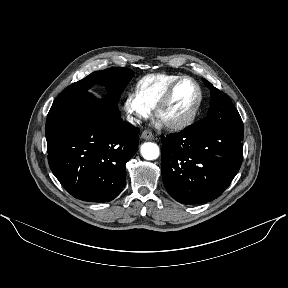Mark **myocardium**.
<instances>
[{
	"label": "myocardium",
	"mask_w": 288,
	"mask_h": 288,
	"mask_svg": "<svg viewBox=\"0 0 288 288\" xmlns=\"http://www.w3.org/2000/svg\"><path fill=\"white\" fill-rule=\"evenodd\" d=\"M184 80H189L195 85L197 96L190 110L182 118L176 121L170 122V123H165L166 126L171 130H181V129L188 127L195 120L199 112L201 103H202V89L199 83L194 78L188 75H183V76L178 77L175 81H173L170 84V86L167 88V90L165 91V93L163 94L159 102L157 103L155 107V114L157 118L161 119L162 112L166 108V106L169 104V102L171 101L175 89Z\"/></svg>",
	"instance_id": "f54148a6"
}]
</instances>
